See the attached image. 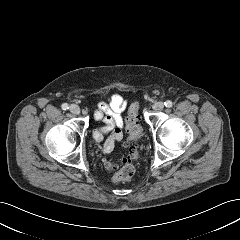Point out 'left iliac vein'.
Wrapping results in <instances>:
<instances>
[{
	"instance_id": "4c4485c4",
	"label": "left iliac vein",
	"mask_w": 240,
	"mask_h": 240,
	"mask_svg": "<svg viewBox=\"0 0 240 240\" xmlns=\"http://www.w3.org/2000/svg\"><path fill=\"white\" fill-rule=\"evenodd\" d=\"M154 110L156 111H161L164 108V103L163 102H157L153 106Z\"/></svg>"
}]
</instances>
